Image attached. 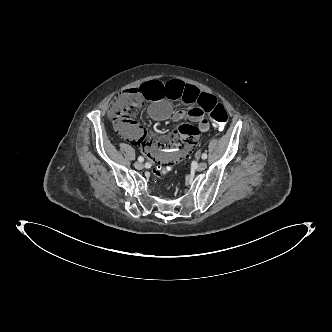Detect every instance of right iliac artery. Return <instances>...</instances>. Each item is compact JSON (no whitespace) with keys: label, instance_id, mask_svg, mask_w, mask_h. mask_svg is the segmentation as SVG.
I'll return each mask as SVG.
<instances>
[{"label":"right iliac artery","instance_id":"82829eb1","mask_svg":"<svg viewBox=\"0 0 332 332\" xmlns=\"http://www.w3.org/2000/svg\"><path fill=\"white\" fill-rule=\"evenodd\" d=\"M138 161L143 162V161H144V158H143L142 156H139V157H138Z\"/></svg>","mask_w":332,"mask_h":332}]
</instances>
